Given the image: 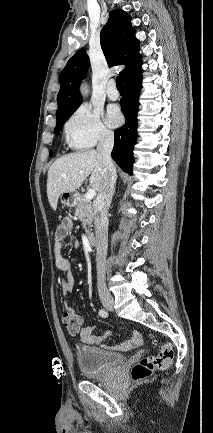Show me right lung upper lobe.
Here are the masks:
<instances>
[{"label": "right lung upper lobe", "instance_id": "1", "mask_svg": "<svg viewBox=\"0 0 213 433\" xmlns=\"http://www.w3.org/2000/svg\"><path fill=\"white\" fill-rule=\"evenodd\" d=\"M130 21L131 17L125 11L113 10L100 32L101 48L107 63L110 66L125 65L124 70L120 72L123 81L142 64L139 41ZM88 66L89 57L85 49H81L69 59L62 70L57 95V120L81 104L79 85L86 76Z\"/></svg>", "mask_w": 213, "mask_h": 433}]
</instances>
